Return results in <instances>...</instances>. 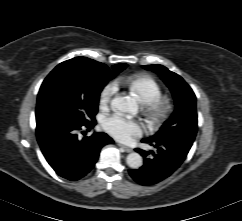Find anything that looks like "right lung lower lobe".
<instances>
[{"instance_id":"right-lung-lower-lobe-1","label":"right lung lower lobe","mask_w":242,"mask_h":221,"mask_svg":"<svg viewBox=\"0 0 242 221\" xmlns=\"http://www.w3.org/2000/svg\"><path fill=\"white\" fill-rule=\"evenodd\" d=\"M93 126L94 120L85 123L62 119L37 122L38 143L47 162L58 175L71 181L81 179L94 167L101 148L113 142L105 133L78 138L79 130Z\"/></svg>"}]
</instances>
